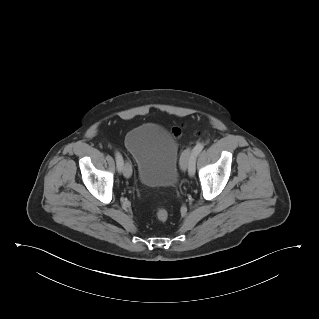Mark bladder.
I'll use <instances>...</instances> for the list:
<instances>
[{
	"label": "bladder",
	"instance_id": "1",
	"mask_svg": "<svg viewBox=\"0 0 319 319\" xmlns=\"http://www.w3.org/2000/svg\"><path fill=\"white\" fill-rule=\"evenodd\" d=\"M125 145L135 159L142 185L167 188L176 183L180 152L171 133L157 124H141L127 132Z\"/></svg>",
	"mask_w": 319,
	"mask_h": 319
}]
</instances>
